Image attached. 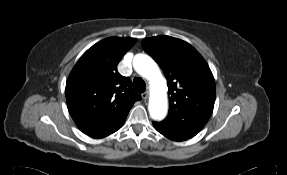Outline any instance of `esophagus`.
Returning a JSON list of instances; mask_svg holds the SVG:
<instances>
[{
  "label": "esophagus",
  "mask_w": 287,
  "mask_h": 175,
  "mask_svg": "<svg viewBox=\"0 0 287 175\" xmlns=\"http://www.w3.org/2000/svg\"><path fill=\"white\" fill-rule=\"evenodd\" d=\"M148 96H149V92L148 91H145L144 93H142V98L143 99H147L148 98Z\"/></svg>",
  "instance_id": "esophagus-1"
}]
</instances>
